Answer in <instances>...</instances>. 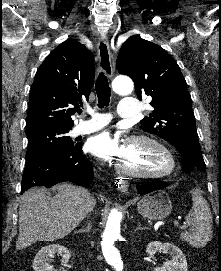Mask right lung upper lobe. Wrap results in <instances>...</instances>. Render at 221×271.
I'll use <instances>...</instances> for the list:
<instances>
[{
	"mask_svg": "<svg viewBox=\"0 0 221 271\" xmlns=\"http://www.w3.org/2000/svg\"><path fill=\"white\" fill-rule=\"evenodd\" d=\"M94 58L76 40L61 43L37 70L31 86L26 131L47 125L73 126L74 115L94 82Z\"/></svg>",
	"mask_w": 221,
	"mask_h": 271,
	"instance_id": "cb5924a9",
	"label": "right lung upper lobe"
}]
</instances>
